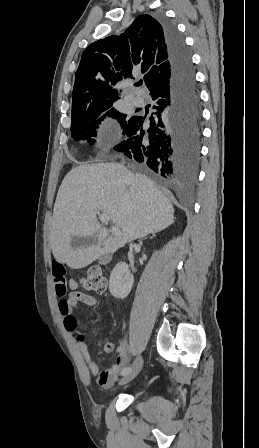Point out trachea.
<instances>
[{
    "label": "trachea",
    "instance_id": "obj_1",
    "mask_svg": "<svg viewBox=\"0 0 259 448\" xmlns=\"http://www.w3.org/2000/svg\"><path fill=\"white\" fill-rule=\"evenodd\" d=\"M142 83H143V81H142V80H139V82H136V83H135V86H136V87H140V86L142 85Z\"/></svg>",
    "mask_w": 259,
    "mask_h": 448
}]
</instances>
